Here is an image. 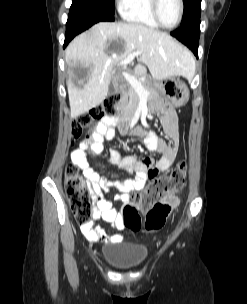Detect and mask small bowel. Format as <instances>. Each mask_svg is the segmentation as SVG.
Segmentation results:
<instances>
[{
  "mask_svg": "<svg viewBox=\"0 0 247 304\" xmlns=\"http://www.w3.org/2000/svg\"><path fill=\"white\" fill-rule=\"evenodd\" d=\"M152 110L161 114V124L168 142L158 137L155 133L145 134V146L148 150L156 152L159 159L154 164L151 159L138 160L133 156L121 158L118 151H110V161L117 165L122 171L133 175L118 183L115 188L118 193L114 195V201L126 203L130 199V194L144 189L147 181L159 172H166L172 166L177 156L179 148L178 118L174 109L156 100L152 103ZM119 118L111 116L105 118L96 128L93 135L82 142L78 148L71 152V161L77 168L82 170L87 179L92 199L95 207L92 213V221L86 225H81L80 229L84 237L90 242L118 243L122 240L120 234L108 235L102 229L94 226V221L102 219L108 222L113 228L122 230L125 227L123 213L118 211L110 200L105 197L111 184L104 175H100L95 169L89 166L86 159V151L90 149L94 154L103 152L105 140H112L116 136V126ZM137 135H143L141 129L134 131Z\"/></svg>",
  "mask_w": 247,
  "mask_h": 304,
  "instance_id": "c3829d8e",
  "label": "small bowel"
}]
</instances>
